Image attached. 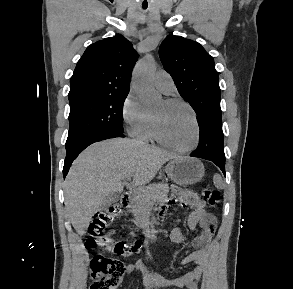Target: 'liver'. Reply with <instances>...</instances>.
<instances>
[{
	"label": "liver",
	"instance_id": "6515ba94",
	"mask_svg": "<svg viewBox=\"0 0 293 289\" xmlns=\"http://www.w3.org/2000/svg\"><path fill=\"white\" fill-rule=\"evenodd\" d=\"M177 156L136 139L115 138L92 144L74 161L65 181V206L76 232L85 234L94 213L125 180L149 183L164 163Z\"/></svg>",
	"mask_w": 293,
	"mask_h": 289
}]
</instances>
